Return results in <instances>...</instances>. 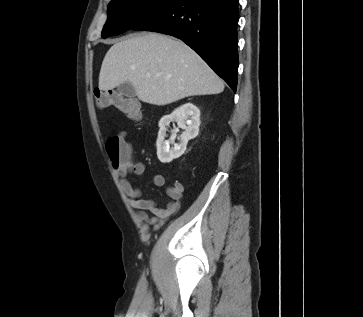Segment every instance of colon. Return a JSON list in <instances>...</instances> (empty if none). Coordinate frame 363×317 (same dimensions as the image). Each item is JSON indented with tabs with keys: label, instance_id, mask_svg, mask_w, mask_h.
Returning <instances> with one entry per match:
<instances>
[{
	"label": "colon",
	"instance_id": "colon-1",
	"mask_svg": "<svg viewBox=\"0 0 363 317\" xmlns=\"http://www.w3.org/2000/svg\"><path fill=\"white\" fill-rule=\"evenodd\" d=\"M94 100L99 107H114L130 119L138 120L141 117L138 102L134 98L122 95L114 90H95ZM105 148L115 166H120L130 160V146L121 135L110 136L106 140Z\"/></svg>",
	"mask_w": 363,
	"mask_h": 317
}]
</instances>
